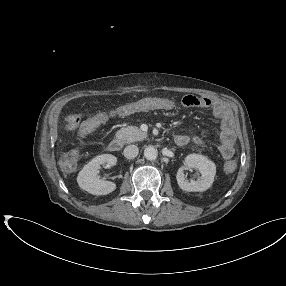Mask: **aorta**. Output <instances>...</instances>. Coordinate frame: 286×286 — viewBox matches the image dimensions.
I'll use <instances>...</instances> for the list:
<instances>
[{"label":"aorta","mask_w":286,"mask_h":286,"mask_svg":"<svg viewBox=\"0 0 286 286\" xmlns=\"http://www.w3.org/2000/svg\"><path fill=\"white\" fill-rule=\"evenodd\" d=\"M144 156L147 160H155L158 156L157 149L154 146H147L144 150Z\"/></svg>","instance_id":"1"}]
</instances>
